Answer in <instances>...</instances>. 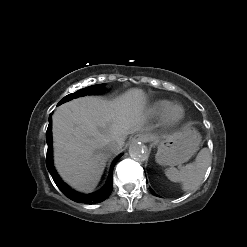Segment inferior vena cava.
I'll use <instances>...</instances> for the list:
<instances>
[{
    "label": "inferior vena cava",
    "mask_w": 247,
    "mask_h": 247,
    "mask_svg": "<svg viewBox=\"0 0 247 247\" xmlns=\"http://www.w3.org/2000/svg\"><path fill=\"white\" fill-rule=\"evenodd\" d=\"M106 149L108 152L115 154L121 149V145L117 142H110L107 144Z\"/></svg>",
    "instance_id": "1"
}]
</instances>
